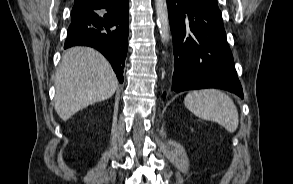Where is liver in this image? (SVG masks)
Here are the masks:
<instances>
[{"label": "liver", "instance_id": "6515ba94", "mask_svg": "<svg viewBox=\"0 0 293 184\" xmlns=\"http://www.w3.org/2000/svg\"><path fill=\"white\" fill-rule=\"evenodd\" d=\"M117 87L116 75L102 54L72 47L63 54L55 75V110L67 121L85 107L109 99Z\"/></svg>", "mask_w": 293, "mask_h": 184}]
</instances>
